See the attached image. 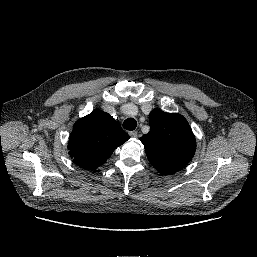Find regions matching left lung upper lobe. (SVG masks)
I'll return each mask as SVG.
<instances>
[{"label":"left lung upper lobe","instance_id":"5c2ea615","mask_svg":"<svg viewBox=\"0 0 257 257\" xmlns=\"http://www.w3.org/2000/svg\"><path fill=\"white\" fill-rule=\"evenodd\" d=\"M150 131L140 141L146 155L160 174H174L183 169L195 153V137L180 114L155 109L149 115Z\"/></svg>","mask_w":257,"mask_h":257}]
</instances>
